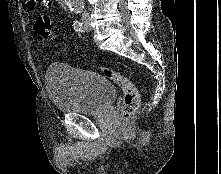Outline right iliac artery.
<instances>
[{
    "label": "right iliac artery",
    "instance_id": "right-iliac-artery-1",
    "mask_svg": "<svg viewBox=\"0 0 221 174\" xmlns=\"http://www.w3.org/2000/svg\"><path fill=\"white\" fill-rule=\"evenodd\" d=\"M74 30L78 33L83 32V24L80 21H74L73 23Z\"/></svg>",
    "mask_w": 221,
    "mask_h": 174
}]
</instances>
